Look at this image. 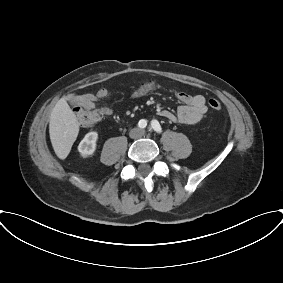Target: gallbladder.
<instances>
[{"mask_svg": "<svg viewBox=\"0 0 283 283\" xmlns=\"http://www.w3.org/2000/svg\"><path fill=\"white\" fill-rule=\"evenodd\" d=\"M71 104H76V102L75 101H71Z\"/></svg>", "mask_w": 283, "mask_h": 283, "instance_id": "obj_1", "label": "gallbladder"}]
</instances>
